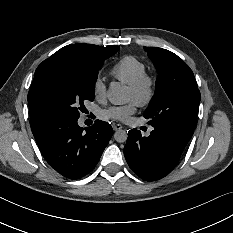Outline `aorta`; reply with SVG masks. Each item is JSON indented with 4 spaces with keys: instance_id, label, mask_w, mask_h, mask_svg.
<instances>
[{
    "instance_id": "762f6f07",
    "label": "aorta",
    "mask_w": 233,
    "mask_h": 233,
    "mask_svg": "<svg viewBox=\"0 0 233 233\" xmlns=\"http://www.w3.org/2000/svg\"><path fill=\"white\" fill-rule=\"evenodd\" d=\"M107 97L109 101L114 105H123L129 102L130 96L127 90V86L122 85L119 82H112L107 91ZM127 133L125 130H118L114 133V139L123 143L127 140Z\"/></svg>"
}]
</instances>
